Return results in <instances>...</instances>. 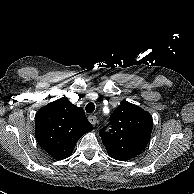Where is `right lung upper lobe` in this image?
<instances>
[{
    "mask_svg": "<svg viewBox=\"0 0 194 194\" xmlns=\"http://www.w3.org/2000/svg\"><path fill=\"white\" fill-rule=\"evenodd\" d=\"M93 130L82 108L60 98L38 110L35 136L38 144L54 159L69 157L77 141Z\"/></svg>",
    "mask_w": 194,
    "mask_h": 194,
    "instance_id": "right-lung-upper-lobe-1",
    "label": "right lung upper lobe"
}]
</instances>
